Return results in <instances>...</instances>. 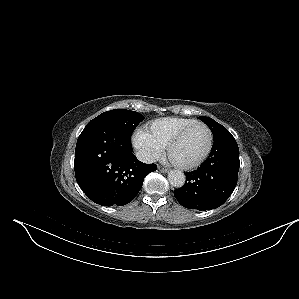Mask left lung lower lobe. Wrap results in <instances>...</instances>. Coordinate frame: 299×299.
Instances as JSON below:
<instances>
[{
    "mask_svg": "<svg viewBox=\"0 0 299 299\" xmlns=\"http://www.w3.org/2000/svg\"><path fill=\"white\" fill-rule=\"evenodd\" d=\"M208 159L195 171L186 173V183L174 191L178 202L189 209L206 211L221 206L237 184L239 148L228 130L213 136Z\"/></svg>",
    "mask_w": 299,
    "mask_h": 299,
    "instance_id": "obj_1",
    "label": "left lung lower lobe"
}]
</instances>
